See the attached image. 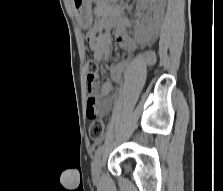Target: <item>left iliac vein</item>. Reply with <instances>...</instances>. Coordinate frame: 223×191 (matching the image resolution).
Returning a JSON list of instances; mask_svg holds the SVG:
<instances>
[{"instance_id": "1", "label": "left iliac vein", "mask_w": 223, "mask_h": 191, "mask_svg": "<svg viewBox=\"0 0 223 191\" xmlns=\"http://www.w3.org/2000/svg\"><path fill=\"white\" fill-rule=\"evenodd\" d=\"M92 177L94 180H98L101 174V159L94 160L91 168Z\"/></svg>"}]
</instances>
